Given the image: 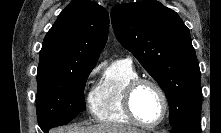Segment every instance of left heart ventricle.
<instances>
[{"label": "left heart ventricle", "instance_id": "obj_1", "mask_svg": "<svg viewBox=\"0 0 221 133\" xmlns=\"http://www.w3.org/2000/svg\"><path fill=\"white\" fill-rule=\"evenodd\" d=\"M134 111L140 120L146 123L156 122L162 113V101L159 93L151 85H142L133 99Z\"/></svg>", "mask_w": 221, "mask_h": 133}]
</instances>
